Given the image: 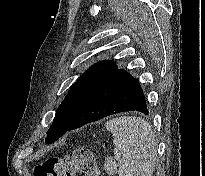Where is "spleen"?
Listing matches in <instances>:
<instances>
[{
  "instance_id": "obj_1",
  "label": "spleen",
  "mask_w": 205,
  "mask_h": 176,
  "mask_svg": "<svg viewBox=\"0 0 205 176\" xmlns=\"http://www.w3.org/2000/svg\"><path fill=\"white\" fill-rule=\"evenodd\" d=\"M113 143L121 153L119 176H152L157 143L150 124L141 117L123 116L105 124Z\"/></svg>"
}]
</instances>
